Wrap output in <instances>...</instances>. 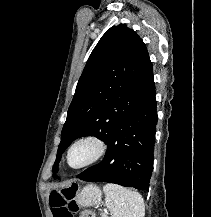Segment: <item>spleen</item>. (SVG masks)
<instances>
[{"mask_svg": "<svg viewBox=\"0 0 211 217\" xmlns=\"http://www.w3.org/2000/svg\"><path fill=\"white\" fill-rule=\"evenodd\" d=\"M103 191L112 217H144V200L138 192L110 183L103 187Z\"/></svg>", "mask_w": 211, "mask_h": 217, "instance_id": "1", "label": "spleen"}]
</instances>
